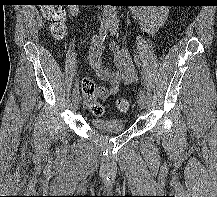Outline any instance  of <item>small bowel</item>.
Segmentation results:
<instances>
[{
	"instance_id": "1",
	"label": "small bowel",
	"mask_w": 217,
	"mask_h": 197,
	"mask_svg": "<svg viewBox=\"0 0 217 197\" xmlns=\"http://www.w3.org/2000/svg\"><path fill=\"white\" fill-rule=\"evenodd\" d=\"M69 12L72 16H77L79 8L74 5L70 6ZM133 15L139 22L142 30L147 33H155L164 25L168 12L164 7L135 8ZM110 48L113 51L115 67L113 71L102 65L104 44L100 36L96 35L93 37L89 51V61L93 69L102 80L110 84V87L106 88V96L102 99L117 94L122 84H131L138 79L137 71L127 50L121 48L117 43H112Z\"/></svg>"
}]
</instances>
